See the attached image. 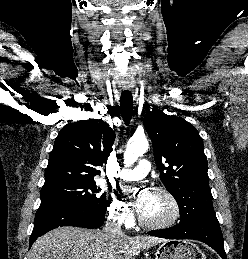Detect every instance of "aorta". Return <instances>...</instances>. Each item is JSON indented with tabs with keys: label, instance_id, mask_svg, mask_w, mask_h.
<instances>
[{
	"label": "aorta",
	"instance_id": "obj_1",
	"mask_svg": "<svg viewBox=\"0 0 248 259\" xmlns=\"http://www.w3.org/2000/svg\"><path fill=\"white\" fill-rule=\"evenodd\" d=\"M148 140L145 136L132 137L124 152V164L125 166H131L139 156L144 154L148 149Z\"/></svg>",
	"mask_w": 248,
	"mask_h": 259
}]
</instances>
